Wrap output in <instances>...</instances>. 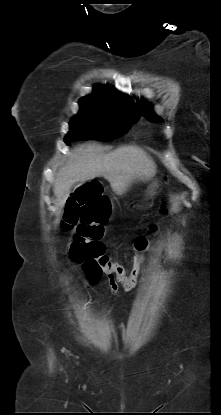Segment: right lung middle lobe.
Here are the masks:
<instances>
[{"label": "right lung middle lobe", "mask_w": 221, "mask_h": 415, "mask_svg": "<svg viewBox=\"0 0 221 415\" xmlns=\"http://www.w3.org/2000/svg\"><path fill=\"white\" fill-rule=\"evenodd\" d=\"M139 119L140 115L130 110L80 105L64 140L67 145L78 140H113L123 136Z\"/></svg>", "instance_id": "dd1d6c3e"}]
</instances>
